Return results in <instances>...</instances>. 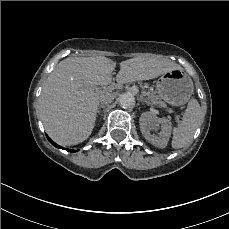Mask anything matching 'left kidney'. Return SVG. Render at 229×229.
<instances>
[{"instance_id":"obj_1","label":"left kidney","mask_w":229,"mask_h":229,"mask_svg":"<svg viewBox=\"0 0 229 229\" xmlns=\"http://www.w3.org/2000/svg\"><path fill=\"white\" fill-rule=\"evenodd\" d=\"M139 123L143 136L149 142L158 148H165L166 144L168 143L171 131V124L166 118L159 119L152 113L145 112L140 116ZM157 124L160 125L161 128L159 137L152 136L149 132V129L156 126Z\"/></svg>"}]
</instances>
